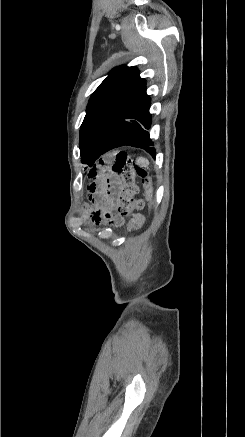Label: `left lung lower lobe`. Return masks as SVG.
<instances>
[{
	"mask_svg": "<svg viewBox=\"0 0 245 437\" xmlns=\"http://www.w3.org/2000/svg\"><path fill=\"white\" fill-rule=\"evenodd\" d=\"M150 103L145 84L113 125L103 143L99 156L113 148L128 145L145 149L155 157V148L147 131L151 124Z\"/></svg>",
	"mask_w": 245,
	"mask_h": 437,
	"instance_id": "left-lung-lower-lobe-1",
	"label": "left lung lower lobe"
}]
</instances>
